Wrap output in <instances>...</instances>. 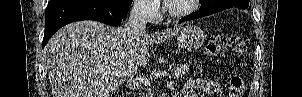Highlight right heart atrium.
I'll return each instance as SVG.
<instances>
[{"mask_svg": "<svg viewBox=\"0 0 302 97\" xmlns=\"http://www.w3.org/2000/svg\"><path fill=\"white\" fill-rule=\"evenodd\" d=\"M136 10L139 15L143 16L150 22H156L160 19L159 3L156 0L139 1L136 5Z\"/></svg>", "mask_w": 302, "mask_h": 97, "instance_id": "right-heart-atrium-1", "label": "right heart atrium"}]
</instances>
